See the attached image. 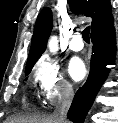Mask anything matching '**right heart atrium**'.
I'll list each match as a JSON object with an SVG mask.
<instances>
[{
	"label": "right heart atrium",
	"mask_w": 118,
	"mask_h": 123,
	"mask_svg": "<svg viewBox=\"0 0 118 123\" xmlns=\"http://www.w3.org/2000/svg\"><path fill=\"white\" fill-rule=\"evenodd\" d=\"M33 75L40 96L49 105H55L72 93V85L64 77L59 64L48 55L36 62Z\"/></svg>",
	"instance_id": "1"
}]
</instances>
